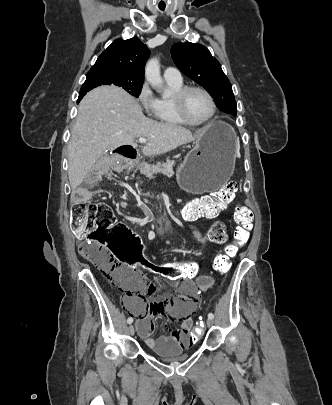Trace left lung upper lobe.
<instances>
[{"label":"left lung upper lobe","mask_w":332,"mask_h":405,"mask_svg":"<svg viewBox=\"0 0 332 405\" xmlns=\"http://www.w3.org/2000/svg\"><path fill=\"white\" fill-rule=\"evenodd\" d=\"M171 55L177 68L203 86L220 110L234 116L237 114L231 83L220 63L205 46L189 42L176 43L171 48Z\"/></svg>","instance_id":"left-lung-upper-lobe-1"}]
</instances>
